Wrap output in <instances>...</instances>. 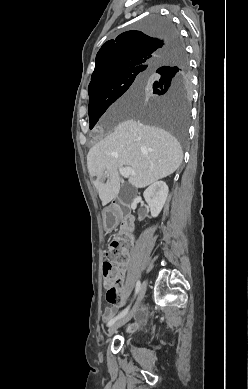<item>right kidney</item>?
Segmentation results:
<instances>
[{"instance_id": "right-kidney-1", "label": "right kidney", "mask_w": 248, "mask_h": 389, "mask_svg": "<svg viewBox=\"0 0 248 389\" xmlns=\"http://www.w3.org/2000/svg\"><path fill=\"white\" fill-rule=\"evenodd\" d=\"M168 192V186L163 181L153 183L144 191L143 196L150 207L152 217H157L161 212L166 202Z\"/></svg>"}]
</instances>
